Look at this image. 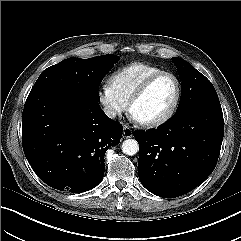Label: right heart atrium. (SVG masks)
Returning a JSON list of instances; mask_svg holds the SVG:
<instances>
[{"mask_svg":"<svg viewBox=\"0 0 241 241\" xmlns=\"http://www.w3.org/2000/svg\"><path fill=\"white\" fill-rule=\"evenodd\" d=\"M98 99L106 115L112 119L121 116L128 108V103L117 93L111 83L100 86Z\"/></svg>","mask_w":241,"mask_h":241,"instance_id":"obj_1","label":"right heart atrium"}]
</instances>
